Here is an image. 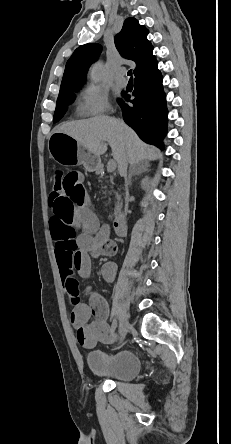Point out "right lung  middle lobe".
Wrapping results in <instances>:
<instances>
[{"mask_svg":"<svg viewBox=\"0 0 231 444\" xmlns=\"http://www.w3.org/2000/svg\"><path fill=\"white\" fill-rule=\"evenodd\" d=\"M77 89H73L70 91H66L63 93H59L58 99H57V104H56V110L54 113V118H53V122L56 123L58 122L62 116L64 115L65 111H66V104L69 103L71 101V99L74 97L73 92L74 90H78Z\"/></svg>","mask_w":231,"mask_h":444,"instance_id":"right-lung-middle-lobe-1","label":"right lung middle lobe"}]
</instances>
